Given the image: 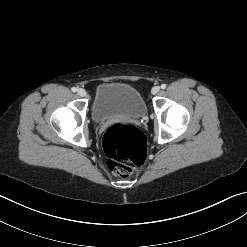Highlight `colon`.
I'll return each mask as SVG.
<instances>
[{
  "instance_id": "5ec220e1",
  "label": "colon",
  "mask_w": 247,
  "mask_h": 247,
  "mask_svg": "<svg viewBox=\"0 0 247 247\" xmlns=\"http://www.w3.org/2000/svg\"><path fill=\"white\" fill-rule=\"evenodd\" d=\"M103 147L108 169L120 177L129 176L145 160L144 135L128 124L117 123L110 126L104 133Z\"/></svg>"
}]
</instances>
